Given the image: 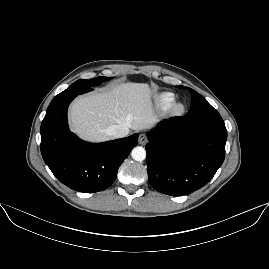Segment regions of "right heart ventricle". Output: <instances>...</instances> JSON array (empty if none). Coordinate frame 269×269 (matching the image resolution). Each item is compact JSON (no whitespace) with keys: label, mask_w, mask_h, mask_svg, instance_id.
I'll return each instance as SVG.
<instances>
[{"label":"right heart ventricle","mask_w":269,"mask_h":269,"mask_svg":"<svg viewBox=\"0 0 269 269\" xmlns=\"http://www.w3.org/2000/svg\"><path fill=\"white\" fill-rule=\"evenodd\" d=\"M175 101V96L172 93L164 92L157 97L158 104L163 108H169Z\"/></svg>","instance_id":"1"}]
</instances>
